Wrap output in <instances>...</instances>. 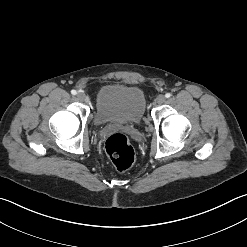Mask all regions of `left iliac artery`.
Masks as SVG:
<instances>
[{
  "instance_id": "obj_1",
  "label": "left iliac artery",
  "mask_w": 247,
  "mask_h": 247,
  "mask_svg": "<svg viewBox=\"0 0 247 247\" xmlns=\"http://www.w3.org/2000/svg\"><path fill=\"white\" fill-rule=\"evenodd\" d=\"M165 97L166 98H170L171 97V94L170 93H166Z\"/></svg>"
}]
</instances>
